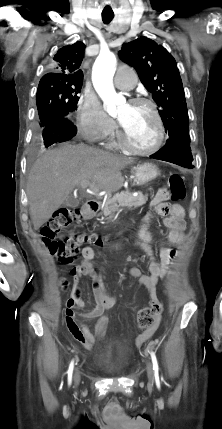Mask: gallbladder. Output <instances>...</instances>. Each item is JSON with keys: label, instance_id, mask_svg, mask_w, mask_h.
Masks as SVG:
<instances>
[{"label": "gallbladder", "instance_id": "gallbladder-1", "mask_svg": "<svg viewBox=\"0 0 222 429\" xmlns=\"http://www.w3.org/2000/svg\"><path fill=\"white\" fill-rule=\"evenodd\" d=\"M80 199L72 195H69L67 199L63 202L65 207H77L79 205Z\"/></svg>", "mask_w": 222, "mask_h": 429}]
</instances>
